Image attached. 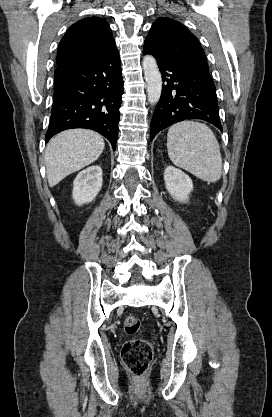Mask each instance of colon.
<instances>
[{"mask_svg": "<svg viewBox=\"0 0 272 417\" xmlns=\"http://www.w3.org/2000/svg\"><path fill=\"white\" fill-rule=\"evenodd\" d=\"M124 329L129 335H138L141 330L140 318L135 315L128 316L124 321ZM152 358L153 350L150 343L141 337L129 339L122 347V362L135 378H142L145 375Z\"/></svg>", "mask_w": 272, "mask_h": 417, "instance_id": "1", "label": "colon"}]
</instances>
